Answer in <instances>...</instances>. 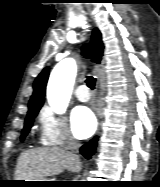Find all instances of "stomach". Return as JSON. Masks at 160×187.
I'll use <instances>...</instances> for the list:
<instances>
[{
	"label": "stomach",
	"mask_w": 160,
	"mask_h": 187,
	"mask_svg": "<svg viewBox=\"0 0 160 187\" xmlns=\"http://www.w3.org/2000/svg\"><path fill=\"white\" fill-rule=\"evenodd\" d=\"M32 181H50L47 179H39V180H32ZM48 182H32L30 184H28L29 186H48L49 184H47Z\"/></svg>",
	"instance_id": "obj_1"
}]
</instances>
